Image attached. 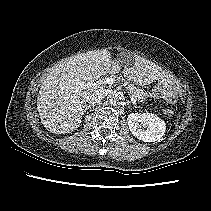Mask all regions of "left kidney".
Segmentation results:
<instances>
[{"label": "left kidney", "instance_id": "1", "mask_svg": "<svg viewBox=\"0 0 211 211\" xmlns=\"http://www.w3.org/2000/svg\"><path fill=\"white\" fill-rule=\"evenodd\" d=\"M127 123L132 135L144 142L159 141L165 134V122L152 113H131Z\"/></svg>", "mask_w": 211, "mask_h": 211}]
</instances>
